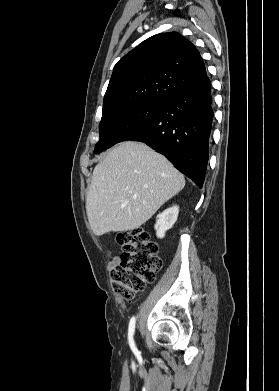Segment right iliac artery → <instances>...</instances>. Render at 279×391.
<instances>
[{"mask_svg":"<svg viewBox=\"0 0 279 391\" xmlns=\"http://www.w3.org/2000/svg\"><path fill=\"white\" fill-rule=\"evenodd\" d=\"M135 322H136L135 317H132L130 319L129 328H128V341H129V345L132 350L136 349L134 339H133L134 330H135Z\"/></svg>","mask_w":279,"mask_h":391,"instance_id":"1","label":"right iliac artery"}]
</instances>
